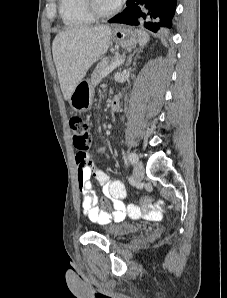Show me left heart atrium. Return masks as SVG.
Masks as SVG:
<instances>
[{
    "label": "left heart atrium",
    "instance_id": "1",
    "mask_svg": "<svg viewBox=\"0 0 227 298\" xmlns=\"http://www.w3.org/2000/svg\"><path fill=\"white\" fill-rule=\"evenodd\" d=\"M122 0H111V2L114 4V5H117L121 2Z\"/></svg>",
    "mask_w": 227,
    "mask_h": 298
}]
</instances>
